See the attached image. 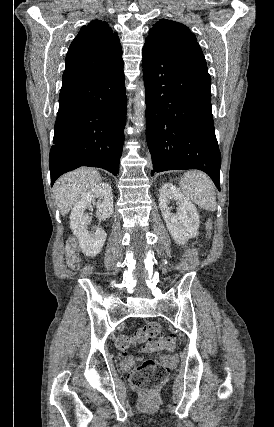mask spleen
I'll list each match as a JSON object with an SVG mask.
<instances>
[{
  "label": "spleen",
  "instance_id": "1",
  "mask_svg": "<svg viewBox=\"0 0 274 427\" xmlns=\"http://www.w3.org/2000/svg\"><path fill=\"white\" fill-rule=\"evenodd\" d=\"M181 190L190 202L204 210H216V194L212 180L203 172H186L180 182Z\"/></svg>",
  "mask_w": 274,
  "mask_h": 427
}]
</instances>
